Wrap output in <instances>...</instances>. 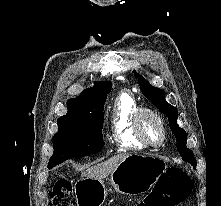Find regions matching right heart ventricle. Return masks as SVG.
I'll return each instance as SVG.
<instances>
[{
	"label": "right heart ventricle",
	"mask_w": 221,
	"mask_h": 206,
	"mask_svg": "<svg viewBox=\"0 0 221 206\" xmlns=\"http://www.w3.org/2000/svg\"><path fill=\"white\" fill-rule=\"evenodd\" d=\"M139 108L135 98L129 92H121L111 112L112 140L121 149H143L146 146L138 139L134 131V114Z\"/></svg>",
	"instance_id": "obj_1"
}]
</instances>
